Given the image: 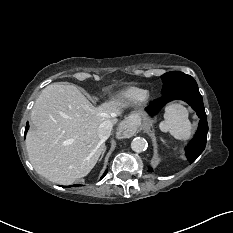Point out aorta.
<instances>
[{
	"instance_id": "obj_1",
	"label": "aorta",
	"mask_w": 233,
	"mask_h": 233,
	"mask_svg": "<svg viewBox=\"0 0 233 233\" xmlns=\"http://www.w3.org/2000/svg\"><path fill=\"white\" fill-rule=\"evenodd\" d=\"M148 143L142 137H136L131 142V149L137 153L143 152L147 149Z\"/></svg>"
}]
</instances>
